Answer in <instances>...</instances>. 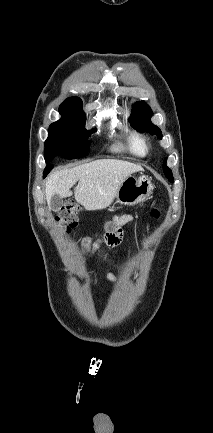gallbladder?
Segmentation results:
<instances>
[{"mask_svg":"<svg viewBox=\"0 0 213 433\" xmlns=\"http://www.w3.org/2000/svg\"><path fill=\"white\" fill-rule=\"evenodd\" d=\"M63 205V200L58 194H54L50 200V207L53 211H58Z\"/></svg>","mask_w":213,"mask_h":433,"instance_id":"1","label":"gallbladder"}]
</instances>
